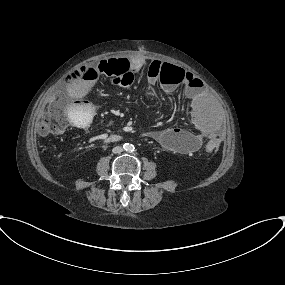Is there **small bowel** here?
Masks as SVG:
<instances>
[{"label":"small bowel","mask_w":285,"mask_h":285,"mask_svg":"<svg viewBox=\"0 0 285 285\" xmlns=\"http://www.w3.org/2000/svg\"><path fill=\"white\" fill-rule=\"evenodd\" d=\"M143 60L137 59L132 62L134 68H139ZM162 62L154 59L150 61L149 72L150 81L157 79L162 68ZM197 78L193 73L185 72L179 84L168 83L163 86L164 91L174 92L179 87L184 88V93L188 99L189 118L196 133L180 128H166L152 133V138L163 148L176 150L181 154L194 152L201 148L205 140L210 136L220 135L217 122L206 116L205 102L202 98L201 87L197 84ZM93 79L72 81L64 87L65 101L68 107L71 121L79 126V119L73 115L77 113L80 118L89 119L90 103L86 100L94 85Z\"/></svg>","instance_id":"c3829d8e"}]
</instances>
